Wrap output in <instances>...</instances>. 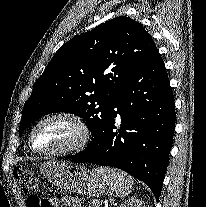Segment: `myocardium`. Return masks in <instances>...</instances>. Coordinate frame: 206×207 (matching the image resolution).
<instances>
[{"label": "myocardium", "mask_w": 206, "mask_h": 207, "mask_svg": "<svg viewBox=\"0 0 206 207\" xmlns=\"http://www.w3.org/2000/svg\"><path fill=\"white\" fill-rule=\"evenodd\" d=\"M52 119H66L71 121L75 124V126L78 128L79 131V137L78 139L73 142L72 144L59 148V149H53V150H42L38 149L34 146L33 143V136L35 131L38 129L40 125H42L44 122L52 120ZM92 137L91 128L88 125V123L79 115L71 112H55L52 114H49L43 118H41L31 129L28 137V143L30 148L42 155H66V154H72L79 152L83 150L90 142Z\"/></svg>", "instance_id": "obj_1"}]
</instances>
